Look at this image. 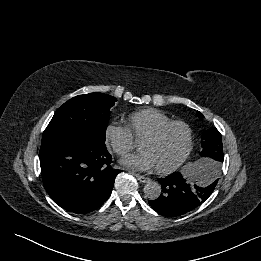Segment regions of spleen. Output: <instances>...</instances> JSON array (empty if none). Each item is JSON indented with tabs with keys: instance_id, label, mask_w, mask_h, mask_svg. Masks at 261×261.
Returning <instances> with one entry per match:
<instances>
[{
	"instance_id": "3e777b00",
	"label": "spleen",
	"mask_w": 261,
	"mask_h": 261,
	"mask_svg": "<svg viewBox=\"0 0 261 261\" xmlns=\"http://www.w3.org/2000/svg\"><path fill=\"white\" fill-rule=\"evenodd\" d=\"M201 168H202V165L200 164L196 168H193L190 171H186L184 173V175L187 178L196 181V183H201V182H203L201 179L202 178Z\"/></svg>"
}]
</instances>
